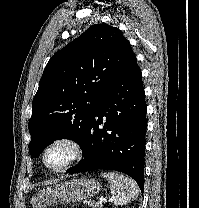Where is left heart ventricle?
<instances>
[{"instance_id":"left-heart-ventricle-1","label":"left heart ventricle","mask_w":199,"mask_h":208,"mask_svg":"<svg viewBox=\"0 0 199 208\" xmlns=\"http://www.w3.org/2000/svg\"><path fill=\"white\" fill-rule=\"evenodd\" d=\"M72 157V149L65 144L53 146L46 155L49 166L57 167L66 163Z\"/></svg>"}]
</instances>
